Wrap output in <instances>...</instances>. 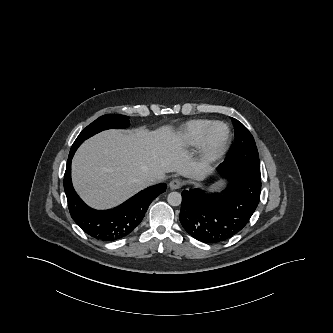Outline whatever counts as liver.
<instances>
[{"label": "liver", "instance_id": "6515ba94", "mask_svg": "<svg viewBox=\"0 0 333 333\" xmlns=\"http://www.w3.org/2000/svg\"><path fill=\"white\" fill-rule=\"evenodd\" d=\"M170 126L128 133L107 130L85 141L72 161L73 185L91 207H113L148 186L144 179L176 172L200 179L203 172Z\"/></svg>", "mask_w": 333, "mask_h": 333}]
</instances>
